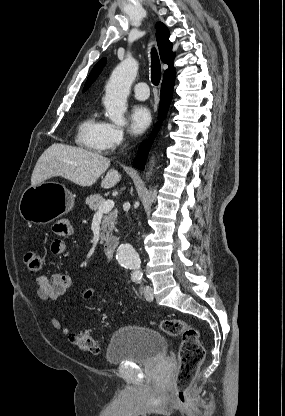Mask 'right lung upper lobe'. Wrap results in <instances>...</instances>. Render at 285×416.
Listing matches in <instances>:
<instances>
[{
  "label": "right lung upper lobe",
  "mask_w": 285,
  "mask_h": 416,
  "mask_svg": "<svg viewBox=\"0 0 285 416\" xmlns=\"http://www.w3.org/2000/svg\"><path fill=\"white\" fill-rule=\"evenodd\" d=\"M155 27L160 58L164 63L169 65V68L164 72V79H166L175 75L173 67L174 53L172 52V43L169 41L170 33L168 28L162 22H158ZM105 63L106 60L103 58L94 66L85 83L83 92L86 91L97 78Z\"/></svg>",
  "instance_id": "1"
}]
</instances>
